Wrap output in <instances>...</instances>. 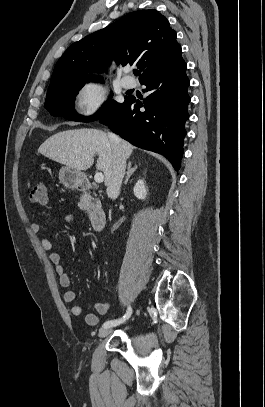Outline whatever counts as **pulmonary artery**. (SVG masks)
Returning a JSON list of instances; mask_svg holds the SVG:
<instances>
[{
    "label": "pulmonary artery",
    "mask_w": 265,
    "mask_h": 407,
    "mask_svg": "<svg viewBox=\"0 0 265 407\" xmlns=\"http://www.w3.org/2000/svg\"><path fill=\"white\" fill-rule=\"evenodd\" d=\"M128 70L125 72V75L121 79L122 86L126 89H131L135 86V81L133 78L129 77Z\"/></svg>",
    "instance_id": "pulmonary-artery-1"
}]
</instances>
